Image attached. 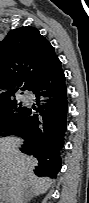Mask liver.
Wrapping results in <instances>:
<instances>
[{
    "instance_id": "liver-1",
    "label": "liver",
    "mask_w": 89,
    "mask_h": 203,
    "mask_svg": "<svg viewBox=\"0 0 89 203\" xmlns=\"http://www.w3.org/2000/svg\"><path fill=\"white\" fill-rule=\"evenodd\" d=\"M21 142V139L14 137L0 140V194L1 197H8L10 203H17L20 195L25 196L27 191L35 196L44 194L53 183L34 174L38 161L18 150Z\"/></svg>"
}]
</instances>
